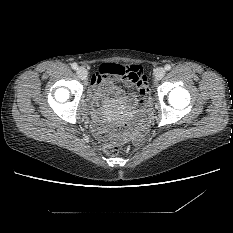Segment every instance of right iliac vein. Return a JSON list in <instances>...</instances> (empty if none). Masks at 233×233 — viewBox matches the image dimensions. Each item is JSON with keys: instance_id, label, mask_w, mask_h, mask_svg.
<instances>
[{"instance_id": "right-iliac-vein-1", "label": "right iliac vein", "mask_w": 233, "mask_h": 233, "mask_svg": "<svg viewBox=\"0 0 233 233\" xmlns=\"http://www.w3.org/2000/svg\"><path fill=\"white\" fill-rule=\"evenodd\" d=\"M78 77L82 80H85L87 77V70L84 67H79L76 70Z\"/></svg>"}]
</instances>
